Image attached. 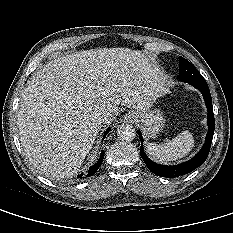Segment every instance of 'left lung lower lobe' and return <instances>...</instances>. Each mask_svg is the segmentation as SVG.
Segmentation results:
<instances>
[{"label": "left lung lower lobe", "mask_w": 233, "mask_h": 233, "mask_svg": "<svg viewBox=\"0 0 233 233\" xmlns=\"http://www.w3.org/2000/svg\"><path fill=\"white\" fill-rule=\"evenodd\" d=\"M187 83L194 86L202 93L208 110V118H207L208 133L206 136L205 144L203 145L202 149L191 160L174 166L160 165L151 161L144 152L143 137L141 135V132L138 131V134L140 135L139 138L141 140V149H140L141 157L144 160L146 166L149 168V170L161 177L174 178L181 175H185L193 171L194 169L201 166L205 162L210 151L213 134H214V128H215V120H214L212 98L210 95L209 87L206 81L187 82Z\"/></svg>", "instance_id": "left-lung-lower-lobe-1"}]
</instances>
